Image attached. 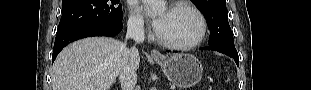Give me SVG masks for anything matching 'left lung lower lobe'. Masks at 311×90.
<instances>
[{
	"mask_svg": "<svg viewBox=\"0 0 311 90\" xmlns=\"http://www.w3.org/2000/svg\"><path fill=\"white\" fill-rule=\"evenodd\" d=\"M200 49L213 50V51H218V52H221L223 54H226V55L232 57L235 60L236 64L239 65V57H238V53L236 50H230V49H226L223 47H214V46H207V47H203Z\"/></svg>",
	"mask_w": 311,
	"mask_h": 90,
	"instance_id": "1",
	"label": "left lung lower lobe"
}]
</instances>
